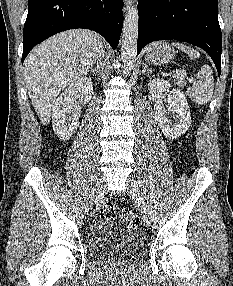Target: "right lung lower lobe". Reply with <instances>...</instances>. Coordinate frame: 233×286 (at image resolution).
I'll return each instance as SVG.
<instances>
[{"label":"right lung lower lobe","instance_id":"right-lung-lower-lobe-1","mask_svg":"<svg viewBox=\"0 0 233 286\" xmlns=\"http://www.w3.org/2000/svg\"><path fill=\"white\" fill-rule=\"evenodd\" d=\"M123 0H28L22 63L48 37L74 28L98 32L115 49L123 25Z\"/></svg>","mask_w":233,"mask_h":286}]
</instances>
